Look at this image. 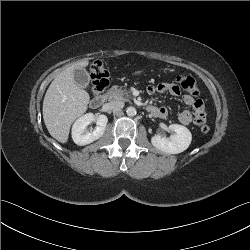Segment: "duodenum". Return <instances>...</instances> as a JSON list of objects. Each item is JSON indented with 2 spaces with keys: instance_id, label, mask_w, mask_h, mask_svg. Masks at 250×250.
<instances>
[{
  "instance_id": "410a0bca",
  "label": "duodenum",
  "mask_w": 250,
  "mask_h": 250,
  "mask_svg": "<svg viewBox=\"0 0 250 250\" xmlns=\"http://www.w3.org/2000/svg\"><path fill=\"white\" fill-rule=\"evenodd\" d=\"M105 100H106L105 95H96L92 98V100L90 102V106L93 109H98L104 104ZM149 111H152V109L150 107H149Z\"/></svg>"
}]
</instances>
